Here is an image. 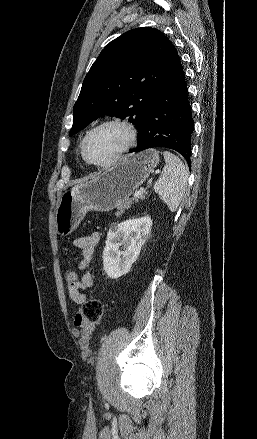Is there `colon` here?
<instances>
[{
	"instance_id": "colon-1",
	"label": "colon",
	"mask_w": 257,
	"mask_h": 439,
	"mask_svg": "<svg viewBox=\"0 0 257 439\" xmlns=\"http://www.w3.org/2000/svg\"><path fill=\"white\" fill-rule=\"evenodd\" d=\"M68 285H74L78 280V273L76 271H68L65 274ZM81 318L92 325L100 324L103 316V305L98 299H89L81 307Z\"/></svg>"
}]
</instances>
